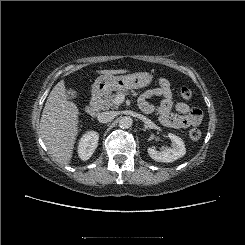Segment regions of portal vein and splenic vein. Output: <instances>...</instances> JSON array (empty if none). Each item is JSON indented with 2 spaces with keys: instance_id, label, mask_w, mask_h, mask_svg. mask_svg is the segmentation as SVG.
Here are the masks:
<instances>
[{
  "instance_id": "18ae733b",
  "label": "portal vein and splenic vein",
  "mask_w": 245,
  "mask_h": 245,
  "mask_svg": "<svg viewBox=\"0 0 245 245\" xmlns=\"http://www.w3.org/2000/svg\"><path fill=\"white\" fill-rule=\"evenodd\" d=\"M124 100H125V96H124V95H118V96L116 97V99H115V102H116L117 104H121V103L124 102Z\"/></svg>"
}]
</instances>
